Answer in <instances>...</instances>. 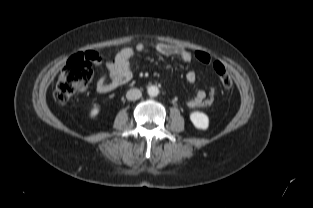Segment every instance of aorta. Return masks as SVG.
<instances>
[{
    "label": "aorta",
    "mask_w": 313,
    "mask_h": 208,
    "mask_svg": "<svg viewBox=\"0 0 313 208\" xmlns=\"http://www.w3.org/2000/svg\"><path fill=\"white\" fill-rule=\"evenodd\" d=\"M147 92L149 96L155 97L159 94V89L157 86H149Z\"/></svg>",
    "instance_id": "1"
}]
</instances>
